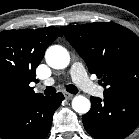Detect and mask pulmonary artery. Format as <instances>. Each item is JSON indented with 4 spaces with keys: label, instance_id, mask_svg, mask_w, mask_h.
Masks as SVG:
<instances>
[{
    "label": "pulmonary artery",
    "instance_id": "1",
    "mask_svg": "<svg viewBox=\"0 0 139 139\" xmlns=\"http://www.w3.org/2000/svg\"><path fill=\"white\" fill-rule=\"evenodd\" d=\"M70 74L75 82V84L84 92L97 96V97H103L104 95V88L93 83L89 77L87 76V73L83 67V65L79 62H76L72 65L70 69ZM54 83V79L50 78L47 79L44 84L49 86Z\"/></svg>",
    "mask_w": 139,
    "mask_h": 139
}]
</instances>
